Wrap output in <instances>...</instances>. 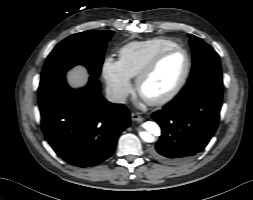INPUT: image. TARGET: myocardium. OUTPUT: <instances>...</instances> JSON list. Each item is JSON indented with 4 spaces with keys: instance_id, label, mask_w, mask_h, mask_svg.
Wrapping results in <instances>:
<instances>
[{
    "instance_id": "1",
    "label": "myocardium",
    "mask_w": 253,
    "mask_h": 200,
    "mask_svg": "<svg viewBox=\"0 0 253 200\" xmlns=\"http://www.w3.org/2000/svg\"><path fill=\"white\" fill-rule=\"evenodd\" d=\"M176 51L182 52L185 55V58H186L185 71H184L181 79L179 80V82L176 84V86L170 92H168L166 95H164L160 98H157V99H152V100L146 99V101L149 105H152V106L164 105V104L170 102L171 100H173L180 93V91L185 86V84L189 78L190 72H191V68H192L191 57H190L188 51L181 46L177 45L174 47H170V48L164 49V50L160 51L159 53H157L136 75L135 87H136L137 92L140 93V87H141L143 81L156 69V67L161 62V60L164 57H166L167 55H169L170 53H173Z\"/></svg>"
}]
</instances>
